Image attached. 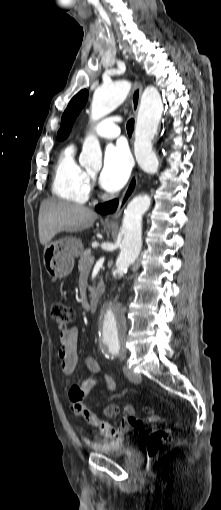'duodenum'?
<instances>
[{
	"label": "duodenum",
	"instance_id": "410a0bca",
	"mask_svg": "<svg viewBox=\"0 0 221 510\" xmlns=\"http://www.w3.org/2000/svg\"><path fill=\"white\" fill-rule=\"evenodd\" d=\"M102 292L103 287L99 285L95 293L90 297L88 302V309L90 312H94L97 310Z\"/></svg>",
	"mask_w": 221,
	"mask_h": 510
}]
</instances>
